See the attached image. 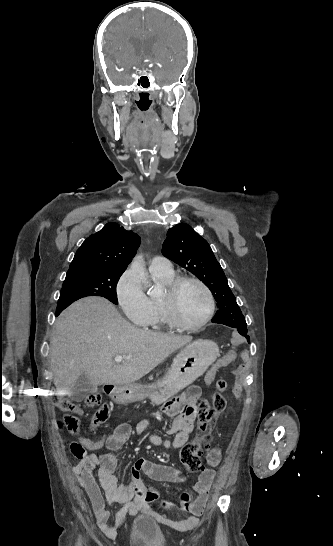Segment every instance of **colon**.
Segmentation results:
<instances>
[{
	"mask_svg": "<svg viewBox=\"0 0 333 546\" xmlns=\"http://www.w3.org/2000/svg\"><path fill=\"white\" fill-rule=\"evenodd\" d=\"M243 371L241 368L238 370ZM238 374L240 378L242 375ZM232 387L240 397L244 394L243 382L240 379H234ZM217 393L212 396L211 404L203 399L196 401V411L198 415L199 433L197 437L189 443L182 446L180 457L182 463L190 473L199 472L202 468L201 455L209 449L211 441V432L219 414L226 407V400L221 394L226 391L227 383L223 379L216 382ZM58 407L66 414L57 421L60 428H65L72 434H78L80 431V420L75 414H80V407L71 399L62 397L57 399ZM86 404L89 406H100L91 420V429H95L106 422L111 409L107 403H101V396L98 393H91L86 397ZM183 506H188L191 502L189 493H182L180 497Z\"/></svg>",
	"mask_w": 333,
	"mask_h": 546,
	"instance_id": "colon-1",
	"label": "colon"
}]
</instances>
